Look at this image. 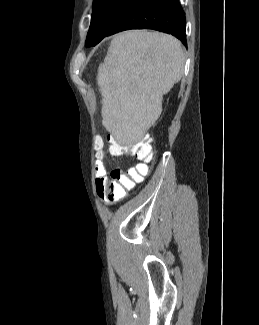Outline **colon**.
<instances>
[{"label":"colon","mask_w":259,"mask_h":325,"mask_svg":"<svg viewBox=\"0 0 259 325\" xmlns=\"http://www.w3.org/2000/svg\"><path fill=\"white\" fill-rule=\"evenodd\" d=\"M97 152L102 153L103 142L97 138L94 142ZM111 153L113 155L128 154L142 161L138 166L126 171L114 169L101 183L98 193L105 202H115L123 199L129 191L139 184L148 172L146 163L153 157L152 139L146 137L140 141L121 144L111 139Z\"/></svg>","instance_id":"obj_1"}]
</instances>
